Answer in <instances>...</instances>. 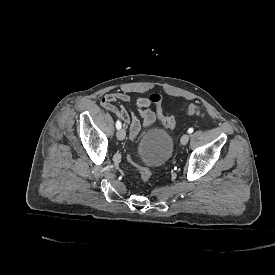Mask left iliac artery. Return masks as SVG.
Masks as SVG:
<instances>
[{
  "label": "left iliac artery",
  "instance_id": "obj_1",
  "mask_svg": "<svg viewBox=\"0 0 275 275\" xmlns=\"http://www.w3.org/2000/svg\"><path fill=\"white\" fill-rule=\"evenodd\" d=\"M193 131H194L193 128H189V129H188V133H189V134H191Z\"/></svg>",
  "mask_w": 275,
  "mask_h": 275
}]
</instances>
